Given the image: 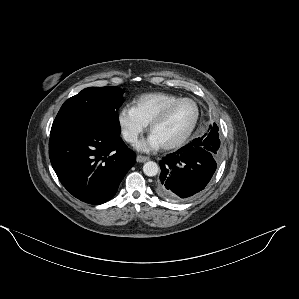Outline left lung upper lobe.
Masks as SVG:
<instances>
[{"label": "left lung upper lobe", "instance_id": "obj_1", "mask_svg": "<svg viewBox=\"0 0 299 299\" xmlns=\"http://www.w3.org/2000/svg\"><path fill=\"white\" fill-rule=\"evenodd\" d=\"M218 130L219 129L217 125L214 123L212 126L209 127V131L205 135L209 138L210 143H213L212 147L215 148V150H217L219 153L220 140Z\"/></svg>", "mask_w": 299, "mask_h": 299}]
</instances>
